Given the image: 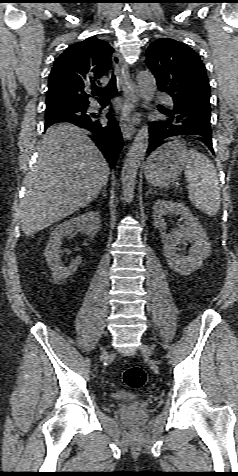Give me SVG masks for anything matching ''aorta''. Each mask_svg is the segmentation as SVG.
<instances>
[{"mask_svg":"<svg viewBox=\"0 0 238 476\" xmlns=\"http://www.w3.org/2000/svg\"><path fill=\"white\" fill-rule=\"evenodd\" d=\"M140 96L145 105H149L156 91V80L151 72L142 71L137 75ZM149 143V127L144 124L136 134L124 161L121 172L123 199L131 203L134 198L136 175L142 163Z\"/></svg>","mask_w":238,"mask_h":476,"instance_id":"1","label":"aorta"}]
</instances>
